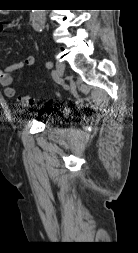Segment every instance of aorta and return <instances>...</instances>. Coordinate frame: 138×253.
I'll return each mask as SVG.
<instances>
[{"instance_id": "762f6f07", "label": "aorta", "mask_w": 138, "mask_h": 253, "mask_svg": "<svg viewBox=\"0 0 138 253\" xmlns=\"http://www.w3.org/2000/svg\"><path fill=\"white\" fill-rule=\"evenodd\" d=\"M46 14L45 10H32V27L41 32L44 29Z\"/></svg>"}]
</instances>
